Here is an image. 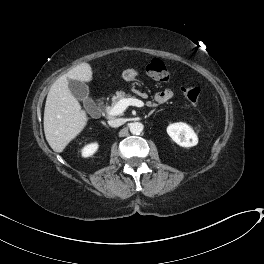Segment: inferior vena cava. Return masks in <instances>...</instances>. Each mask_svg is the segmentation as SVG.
Returning <instances> with one entry per match:
<instances>
[{"label": "inferior vena cava", "instance_id": "1", "mask_svg": "<svg viewBox=\"0 0 264 264\" xmlns=\"http://www.w3.org/2000/svg\"><path fill=\"white\" fill-rule=\"evenodd\" d=\"M108 124L111 127H119L122 124H124V119H122V118L111 119V120L108 121Z\"/></svg>", "mask_w": 264, "mask_h": 264}]
</instances>
